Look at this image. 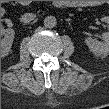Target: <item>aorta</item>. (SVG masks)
I'll return each mask as SVG.
<instances>
[{
  "label": "aorta",
  "mask_w": 109,
  "mask_h": 109,
  "mask_svg": "<svg viewBox=\"0 0 109 109\" xmlns=\"http://www.w3.org/2000/svg\"><path fill=\"white\" fill-rule=\"evenodd\" d=\"M56 24H57V20H56V18L54 16L50 15V16L45 17L44 26L46 28H53V27L56 26Z\"/></svg>",
  "instance_id": "1"
}]
</instances>
